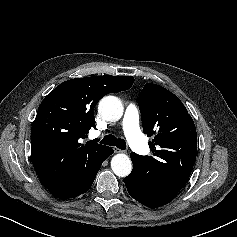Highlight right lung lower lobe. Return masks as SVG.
<instances>
[{"mask_svg": "<svg viewBox=\"0 0 237 237\" xmlns=\"http://www.w3.org/2000/svg\"><path fill=\"white\" fill-rule=\"evenodd\" d=\"M112 153H113V150L110 147H108L105 153L101 157L96 158L94 160H89L87 163H83L80 166V171L85 177V182L82 184L81 188L73 196H65V197H62L59 195H53V196L57 198L68 199V198L79 196L87 192L89 188L92 186L94 179L96 177V174L98 173L102 165V162L106 160L108 156H110Z\"/></svg>", "mask_w": 237, "mask_h": 237, "instance_id": "right-lung-lower-lobe-1", "label": "right lung lower lobe"}]
</instances>
